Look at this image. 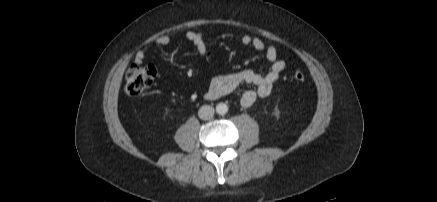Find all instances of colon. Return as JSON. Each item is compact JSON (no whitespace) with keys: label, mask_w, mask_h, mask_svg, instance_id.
Wrapping results in <instances>:
<instances>
[{"label":"colon","mask_w":437,"mask_h":202,"mask_svg":"<svg viewBox=\"0 0 437 202\" xmlns=\"http://www.w3.org/2000/svg\"><path fill=\"white\" fill-rule=\"evenodd\" d=\"M156 70L153 66H140L132 64L126 72V93L130 96H138L146 89L152 86L156 79ZM293 79L296 82H303L305 75L301 71H296L293 74Z\"/></svg>","instance_id":"1"}]
</instances>
